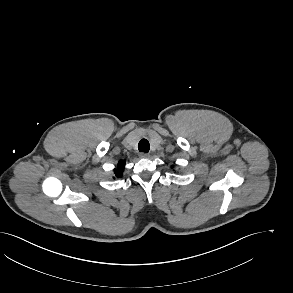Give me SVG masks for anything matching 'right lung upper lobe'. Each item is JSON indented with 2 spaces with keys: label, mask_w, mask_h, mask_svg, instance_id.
<instances>
[{
  "label": "right lung upper lobe",
  "mask_w": 293,
  "mask_h": 293,
  "mask_svg": "<svg viewBox=\"0 0 293 293\" xmlns=\"http://www.w3.org/2000/svg\"><path fill=\"white\" fill-rule=\"evenodd\" d=\"M125 160H121L118 163L117 169H115V176L117 178L121 177L123 175V171H124V166H125Z\"/></svg>",
  "instance_id": "1"
}]
</instances>
